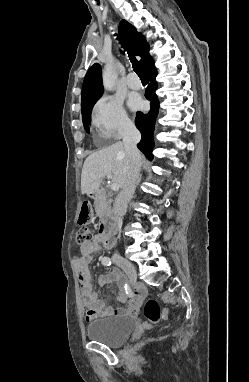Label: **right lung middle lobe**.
I'll list each match as a JSON object with an SVG mask.
<instances>
[{
    "instance_id": "right-lung-middle-lobe-1",
    "label": "right lung middle lobe",
    "mask_w": 249,
    "mask_h": 382,
    "mask_svg": "<svg viewBox=\"0 0 249 382\" xmlns=\"http://www.w3.org/2000/svg\"><path fill=\"white\" fill-rule=\"evenodd\" d=\"M96 101H94L92 104H90L85 111L82 112V118H83V124L85 129L89 132V124L91 121V111L92 107L95 104Z\"/></svg>"
}]
</instances>
